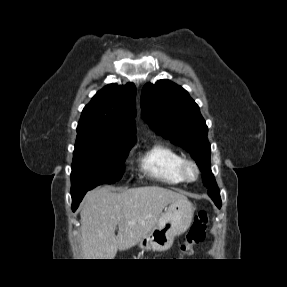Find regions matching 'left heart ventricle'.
<instances>
[{
  "instance_id": "obj_1",
  "label": "left heart ventricle",
  "mask_w": 287,
  "mask_h": 287,
  "mask_svg": "<svg viewBox=\"0 0 287 287\" xmlns=\"http://www.w3.org/2000/svg\"><path fill=\"white\" fill-rule=\"evenodd\" d=\"M191 174L193 175L194 174V172L191 170Z\"/></svg>"
}]
</instances>
